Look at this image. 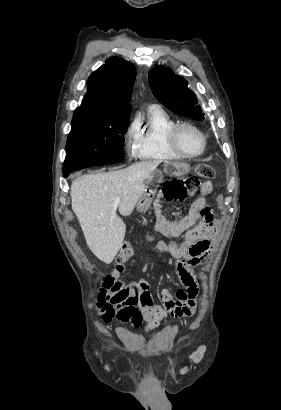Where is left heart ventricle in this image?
<instances>
[{
    "label": "left heart ventricle",
    "instance_id": "1",
    "mask_svg": "<svg viewBox=\"0 0 281 410\" xmlns=\"http://www.w3.org/2000/svg\"><path fill=\"white\" fill-rule=\"evenodd\" d=\"M179 142L187 153H196L202 147L201 136L190 128H185L180 132Z\"/></svg>",
    "mask_w": 281,
    "mask_h": 410
}]
</instances>
